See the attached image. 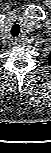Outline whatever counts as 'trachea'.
<instances>
[{"instance_id":"3493384b","label":"trachea","mask_w":51,"mask_h":153,"mask_svg":"<svg viewBox=\"0 0 51 153\" xmlns=\"http://www.w3.org/2000/svg\"><path fill=\"white\" fill-rule=\"evenodd\" d=\"M20 32V25L14 24L11 28V35L12 37H17Z\"/></svg>"}]
</instances>
